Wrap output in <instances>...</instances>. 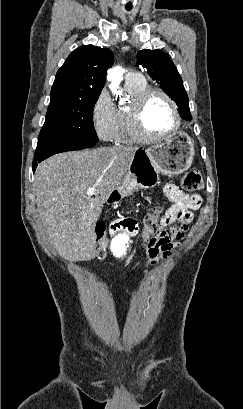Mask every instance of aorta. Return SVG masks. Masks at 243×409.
Returning a JSON list of instances; mask_svg holds the SVG:
<instances>
[{
    "mask_svg": "<svg viewBox=\"0 0 243 409\" xmlns=\"http://www.w3.org/2000/svg\"><path fill=\"white\" fill-rule=\"evenodd\" d=\"M124 69L120 66L114 67L108 71V80L111 81L110 88L111 91L118 95L120 94L119 85L123 80ZM129 237L126 233L117 234L112 240V249L116 252H122L126 244L128 243Z\"/></svg>",
    "mask_w": 243,
    "mask_h": 409,
    "instance_id": "1",
    "label": "aorta"
}]
</instances>
